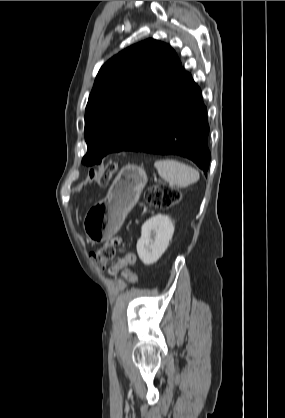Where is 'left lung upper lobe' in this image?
<instances>
[{"label":"left lung upper lobe","mask_w":285,"mask_h":418,"mask_svg":"<svg viewBox=\"0 0 285 418\" xmlns=\"http://www.w3.org/2000/svg\"><path fill=\"white\" fill-rule=\"evenodd\" d=\"M181 69L166 43L147 39L109 59L99 70L85 110V165L122 151Z\"/></svg>","instance_id":"obj_1"}]
</instances>
